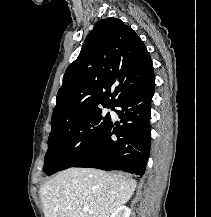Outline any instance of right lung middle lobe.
Instances as JSON below:
<instances>
[{
  "label": "right lung middle lobe",
  "mask_w": 211,
  "mask_h": 217,
  "mask_svg": "<svg viewBox=\"0 0 211 217\" xmlns=\"http://www.w3.org/2000/svg\"><path fill=\"white\" fill-rule=\"evenodd\" d=\"M102 109L52 128L44 159V172L52 175L88 155L104 138L111 124Z\"/></svg>",
  "instance_id": "1"
}]
</instances>
